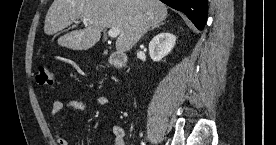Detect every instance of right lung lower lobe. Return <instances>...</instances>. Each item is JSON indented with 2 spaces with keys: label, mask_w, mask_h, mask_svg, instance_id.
Masks as SVG:
<instances>
[{
  "label": "right lung lower lobe",
  "mask_w": 276,
  "mask_h": 145,
  "mask_svg": "<svg viewBox=\"0 0 276 145\" xmlns=\"http://www.w3.org/2000/svg\"><path fill=\"white\" fill-rule=\"evenodd\" d=\"M168 6L182 11L194 23L197 29L203 30L207 17V0H160Z\"/></svg>",
  "instance_id": "right-lung-lower-lobe-1"
}]
</instances>
